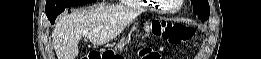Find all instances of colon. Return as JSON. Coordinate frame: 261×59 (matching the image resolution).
I'll return each mask as SVG.
<instances>
[{
  "label": "colon",
  "mask_w": 261,
  "mask_h": 59,
  "mask_svg": "<svg viewBox=\"0 0 261 59\" xmlns=\"http://www.w3.org/2000/svg\"><path fill=\"white\" fill-rule=\"evenodd\" d=\"M146 31L153 36L161 37L169 44H183L190 41L194 36V29L188 25L167 22L155 19L146 26ZM120 58L113 50H90L83 59H117ZM140 59H161L162 48L153 49L144 46L139 52Z\"/></svg>",
  "instance_id": "5ec220e1"
}]
</instances>
